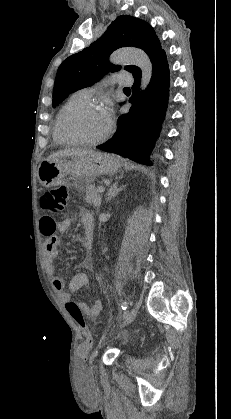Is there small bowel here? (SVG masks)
I'll list each match as a JSON object with an SVG mask.
<instances>
[{
    "mask_svg": "<svg viewBox=\"0 0 231 419\" xmlns=\"http://www.w3.org/2000/svg\"><path fill=\"white\" fill-rule=\"evenodd\" d=\"M80 219L84 227L83 237H76L78 242H81L84 247L90 251L93 243L94 234V218L92 214L87 210H80ZM73 218L67 217L60 222H56L52 217L45 216L40 219L39 227L43 235L47 236L45 242V256L48 269L52 274V286L53 289L59 294V296L66 303L73 300V294L85 287L88 284V276L79 272L76 273L68 285V290H65V283L61 276L53 274V265L58 256V246L60 238L56 235V231L66 232L72 225ZM83 316L89 318H96L99 316L103 309V302L96 300L92 305H88L84 302L75 301Z\"/></svg>",
    "mask_w": 231,
    "mask_h": 419,
    "instance_id": "small-bowel-1",
    "label": "small bowel"
}]
</instances>
